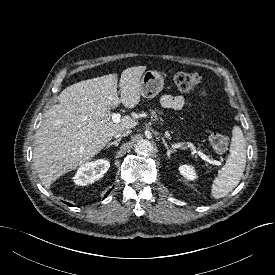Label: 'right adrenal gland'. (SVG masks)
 <instances>
[{
	"instance_id": "right-adrenal-gland-1",
	"label": "right adrenal gland",
	"mask_w": 275,
	"mask_h": 275,
	"mask_svg": "<svg viewBox=\"0 0 275 275\" xmlns=\"http://www.w3.org/2000/svg\"><path fill=\"white\" fill-rule=\"evenodd\" d=\"M121 141V138H118L116 140H114L113 142L111 143H108L106 146V148H109L110 146L114 145L115 147H117L119 145V142Z\"/></svg>"
}]
</instances>
